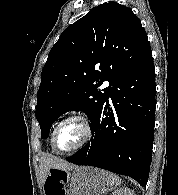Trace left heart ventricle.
I'll use <instances>...</instances> for the list:
<instances>
[{
  "mask_svg": "<svg viewBox=\"0 0 178 195\" xmlns=\"http://www.w3.org/2000/svg\"><path fill=\"white\" fill-rule=\"evenodd\" d=\"M84 130L78 122H69L57 134L56 147L67 150L76 146L83 138Z\"/></svg>",
  "mask_w": 178,
  "mask_h": 195,
  "instance_id": "left-heart-ventricle-1",
  "label": "left heart ventricle"
}]
</instances>
